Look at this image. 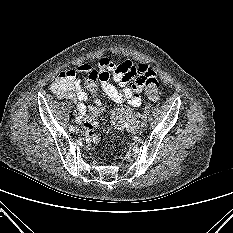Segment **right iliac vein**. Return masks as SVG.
Here are the masks:
<instances>
[{"label": "right iliac vein", "mask_w": 233, "mask_h": 233, "mask_svg": "<svg viewBox=\"0 0 233 233\" xmlns=\"http://www.w3.org/2000/svg\"><path fill=\"white\" fill-rule=\"evenodd\" d=\"M76 133H80V129L79 128L76 129Z\"/></svg>", "instance_id": "1"}]
</instances>
